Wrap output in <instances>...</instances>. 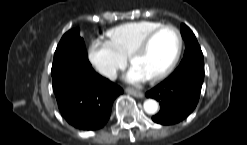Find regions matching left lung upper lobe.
<instances>
[{
  "instance_id": "left-lung-upper-lobe-1",
  "label": "left lung upper lobe",
  "mask_w": 247,
  "mask_h": 145,
  "mask_svg": "<svg viewBox=\"0 0 247 145\" xmlns=\"http://www.w3.org/2000/svg\"><path fill=\"white\" fill-rule=\"evenodd\" d=\"M181 34L185 41V54L183 60L192 57L203 58V53L195 35L191 31V29L185 24L181 25Z\"/></svg>"
}]
</instances>
